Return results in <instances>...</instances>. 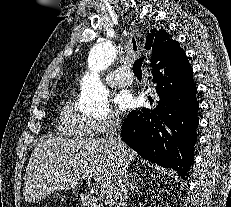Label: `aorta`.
Instances as JSON below:
<instances>
[{
  "label": "aorta",
  "instance_id": "obj_1",
  "mask_svg": "<svg viewBox=\"0 0 231 207\" xmlns=\"http://www.w3.org/2000/svg\"><path fill=\"white\" fill-rule=\"evenodd\" d=\"M116 57V48L111 41L96 43L88 55L89 73L83 78L79 105L93 113L108 111V90L100 80V73L106 70Z\"/></svg>",
  "mask_w": 231,
  "mask_h": 207
}]
</instances>
